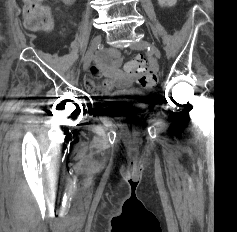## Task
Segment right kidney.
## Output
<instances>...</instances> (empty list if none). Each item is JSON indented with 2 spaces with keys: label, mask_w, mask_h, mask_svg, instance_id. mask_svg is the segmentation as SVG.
<instances>
[{
  "label": "right kidney",
  "mask_w": 237,
  "mask_h": 232,
  "mask_svg": "<svg viewBox=\"0 0 237 232\" xmlns=\"http://www.w3.org/2000/svg\"><path fill=\"white\" fill-rule=\"evenodd\" d=\"M76 0H62L65 5H72Z\"/></svg>",
  "instance_id": "ca27d5eb"
}]
</instances>
